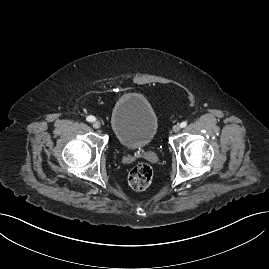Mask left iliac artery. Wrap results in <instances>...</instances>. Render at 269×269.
<instances>
[{"label":"left iliac artery","instance_id":"left-iliac-artery-1","mask_svg":"<svg viewBox=\"0 0 269 269\" xmlns=\"http://www.w3.org/2000/svg\"><path fill=\"white\" fill-rule=\"evenodd\" d=\"M187 126V122L186 121H183L181 124H180V127L181 128H184V127H186Z\"/></svg>","mask_w":269,"mask_h":269}]
</instances>
